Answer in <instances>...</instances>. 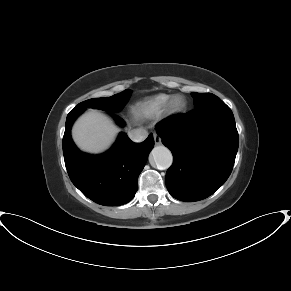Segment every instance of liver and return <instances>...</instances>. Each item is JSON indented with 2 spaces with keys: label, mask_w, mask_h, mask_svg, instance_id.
I'll use <instances>...</instances> for the list:
<instances>
[{
  "label": "liver",
  "mask_w": 291,
  "mask_h": 291,
  "mask_svg": "<svg viewBox=\"0 0 291 291\" xmlns=\"http://www.w3.org/2000/svg\"><path fill=\"white\" fill-rule=\"evenodd\" d=\"M118 131L106 115L90 109L74 124L72 137L82 151L96 154L111 145Z\"/></svg>",
  "instance_id": "6515ba94"
}]
</instances>
